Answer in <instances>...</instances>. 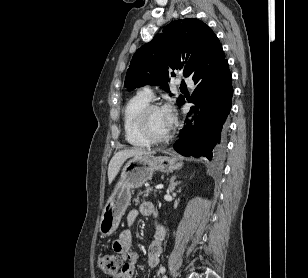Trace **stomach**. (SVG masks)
Returning a JSON list of instances; mask_svg holds the SVG:
<instances>
[{
    "label": "stomach",
    "mask_w": 308,
    "mask_h": 278,
    "mask_svg": "<svg viewBox=\"0 0 308 278\" xmlns=\"http://www.w3.org/2000/svg\"><path fill=\"white\" fill-rule=\"evenodd\" d=\"M182 162L175 156H135L122 168L120 178L101 215L99 232L109 236L118 228L122 216L130 205L132 189L141 187L155 171L170 173L180 169Z\"/></svg>",
    "instance_id": "obj_1"
}]
</instances>
